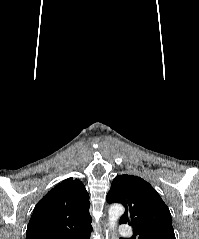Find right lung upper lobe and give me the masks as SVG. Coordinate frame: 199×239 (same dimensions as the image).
<instances>
[{
    "label": "right lung upper lobe",
    "mask_w": 199,
    "mask_h": 239,
    "mask_svg": "<svg viewBox=\"0 0 199 239\" xmlns=\"http://www.w3.org/2000/svg\"><path fill=\"white\" fill-rule=\"evenodd\" d=\"M89 194L80 180L68 178L35 206L26 239H69L91 227Z\"/></svg>",
    "instance_id": "1"
}]
</instances>
